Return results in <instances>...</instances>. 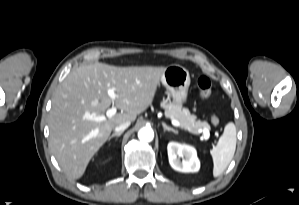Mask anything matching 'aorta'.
Wrapping results in <instances>:
<instances>
[{
  "instance_id": "obj_1",
  "label": "aorta",
  "mask_w": 299,
  "mask_h": 205,
  "mask_svg": "<svg viewBox=\"0 0 299 205\" xmlns=\"http://www.w3.org/2000/svg\"><path fill=\"white\" fill-rule=\"evenodd\" d=\"M138 138L143 142H151L154 138V132L150 127L141 128L138 132Z\"/></svg>"
}]
</instances>
